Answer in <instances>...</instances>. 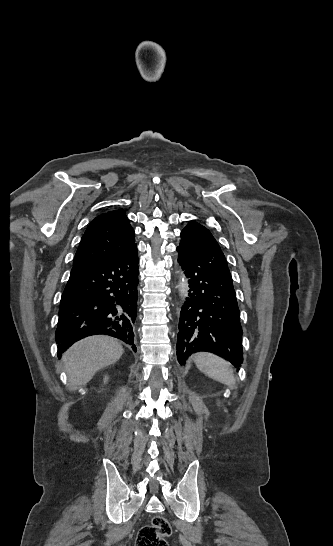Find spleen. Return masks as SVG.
<instances>
[{
    "instance_id": "1",
    "label": "spleen",
    "mask_w": 333,
    "mask_h": 546,
    "mask_svg": "<svg viewBox=\"0 0 333 546\" xmlns=\"http://www.w3.org/2000/svg\"><path fill=\"white\" fill-rule=\"evenodd\" d=\"M194 361L198 369L209 378L227 386L235 384L233 371L226 360L214 354L199 353L194 356Z\"/></svg>"
}]
</instances>
